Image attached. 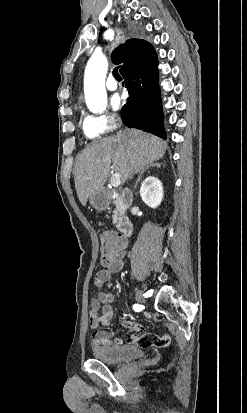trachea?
Returning a JSON list of instances; mask_svg holds the SVG:
<instances>
[{
    "instance_id": "3493384b",
    "label": "trachea",
    "mask_w": 247,
    "mask_h": 413,
    "mask_svg": "<svg viewBox=\"0 0 247 413\" xmlns=\"http://www.w3.org/2000/svg\"><path fill=\"white\" fill-rule=\"evenodd\" d=\"M118 69H119V67L114 68L113 75L116 78V80H122V77L118 73Z\"/></svg>"
}]
</instances>
